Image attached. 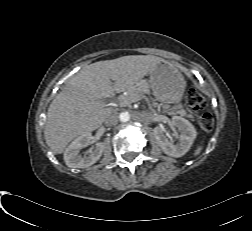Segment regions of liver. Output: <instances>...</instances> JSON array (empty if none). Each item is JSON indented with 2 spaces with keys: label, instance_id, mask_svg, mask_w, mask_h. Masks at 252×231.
Wrapping results in <instances>:
<instances>
[{
  "label": "liver",
  "instance_id": "6515ba94",
  "mask_svg": "<svg viewBox=\"0 0 252 231\" xmlns=\"http://www.w3.org/2000/svg\"><path fill=\"white\" fill-rule=\"evenodd\" d=\"M160 61L153 55H129L83 68L68 80L48 108L44 129L47 145L61 154L73 139L99 128L114 113L103 99L136 91L142 78Z\"/></svg>",
  "mask_w": 252,
  "mask_h": 231
}]
</instances>
